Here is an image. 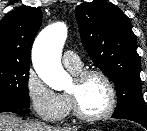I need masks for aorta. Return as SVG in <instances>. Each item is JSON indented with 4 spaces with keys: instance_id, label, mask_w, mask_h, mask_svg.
Here are the masks:
<instances>
[{
    "instance_id": "aorta-1",
    "label": "aorta",
    "mask_w": 147,
    "mask_h": 131,
    "mask_svg": "<svg viewBox=\"0 0 147 131\" xmlns=\"http://www.w3.org/2000/svg\"><path fill=\"white\" fill-rule=\"evenodd\" d=\"M66 37L65 24L54 23L37 36L32 49V62L36 73L54 90H63L70 83L69 74L61 65V52Z\"/></svg>"
}]
</instances>
